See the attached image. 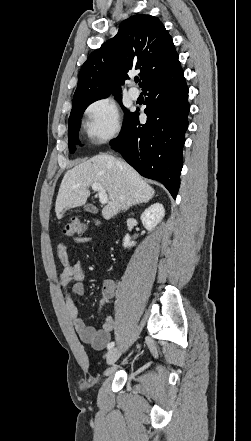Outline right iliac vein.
I'll list each match as a JSON object with an SVG mask.
<instances>
[{
  "mask_svg": "<svg viewBox=\"0 0 251 441\" xmlns=\"http://www.w3.org/2000/svg\"><path fill=\"white\" fill-rule=\"evenodd\" d=\"M121 353H122V350L119 348H113V349L109 350V352L106 354L107 365L114 364L121 356Z\"/></svg>",
  "mask_w": 251,
  "mask_h": 441,
  "instance_id": "63e3f726",
  "label": "right iliac vein"
}]
</instances>
